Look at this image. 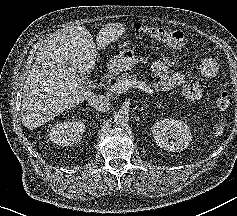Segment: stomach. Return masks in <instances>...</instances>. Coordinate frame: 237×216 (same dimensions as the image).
<instances>
[{
    "instance_id": "obj_1",
    "label": "stomach",
    "mask_w": 237,
    "mask_h": 216,
    "mask_svg": "<svg viewBox=\"0 0 237 216\" xmlns=\"http://www.w3.org/2000/svg\"><path fill=\"white\" fill-rule=\"evenodd\" d=\"M137 56L133 49L120 51L119 55L111 59L109 67L116 71H127L137 64Z\"/></svg>"
}]
</instances>
